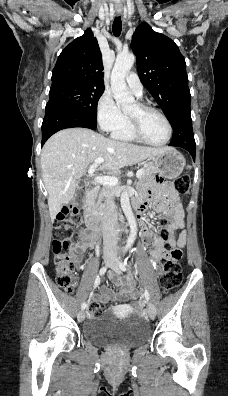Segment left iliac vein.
Here are the masks:
<instances>
[{
    "label": "left iliac vein",
    "mask_w": 228,
    "mask_h": 396,
    "mask_svg": "<svg viewBox=\"0 0 228 396\" xmlns=\"http://www.w3.org/2000/svg\"><path fill=\"white\" fill-rule=\"evenodd\" d=\"M111 269L116 272L117 274L121 273L120 265H119V260L117 258H114L111 264ZM148 315L151 319L155 318L156 315V310L154 305L149 304L148 306Z\"/></svg>",
    "instance_id": "obj_1"
}]
</instances>
